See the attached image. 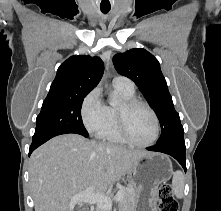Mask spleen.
<instances>
[{
  "instance_id": "3e777b00",
  "label": "spleen",
  "mask_w": 221,
  "mask_h": 211,
  "mask_svg": "<svg viewBox=\"0 0 221 211\" xmlns=\"http://www.w3.org/2000/svg\"><path fill=\"white\" fill-rule=\"evenodd\" d=\"M184 185L185 180L183 173L181 171L174 172L172 179V190L177 198L183 197Z\"/></svg>"
}]
</instances>
